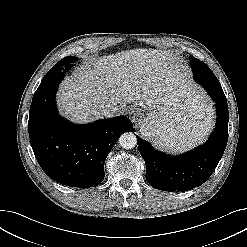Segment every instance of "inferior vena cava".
Wrapping results in <instances>:
<instances>
[{
  "mask_svg": "<svg viewBox=\"0 0 247 247\" xmlns=\"http://www.w3.org/2000/svg\"><path fill=\"white\" fill-rule=\"evenodd\" d=\"M119 108L111 103H106L102 106V114L106 117H111L117 113Z\"/></svg>",
  "mask_w": 247,
  "mask_h": 247,
  "instance_id": "inferior-vena-cava-1",
  "label": "inferior vena cava"
}]
</instances>
